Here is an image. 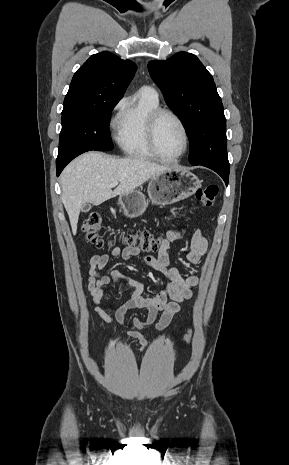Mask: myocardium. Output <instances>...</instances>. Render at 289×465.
<instances>
[{
  "mask_svg": "<svg viewBox=\"0 0 289 465\" xmlns=\"http://www.w3.org/2000/svg\"><path fill=\"white\" fill-rule=\"evenodd\" d=\"M165 115L171 116L179 123V125L182 128L184 139H185V144H184V148L182 152L172 158L165 157L164 155H162V153L159 150L158 141H157L159 122L161 118ZM147 140H148L149 148L156 158L164 162H175L181 159L187 153L189 146H190V133H189V130L185 122L176 112H174L171 109H167V108H157L149 115V118H148Z\"/></svg>",
  "mask_w": 289,
  "mask_h": 465,
  "instance_id": "1",
  "label": "myocardium"
}]
</instances>
